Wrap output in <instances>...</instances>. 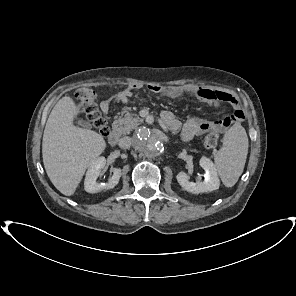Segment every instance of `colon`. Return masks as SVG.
<instances>
[{
    "instance_id": "5ec220e1",
    "label": "colon",
    "mask_w": 296,
    "mask_h": 296,
    "mask_svg": "<svg viewBox=\"0 0 296 296\" xmlns=\"http://www.w3.org/2000/svg\"><path fill=\"white\" fill-rule=\"evenodd\" d=\"M79 112L96 128L101 134L106 135L108 128L102 116V107L97 103V92L91 88H81L77 91ZM219 142V135L215 132L208 133L204 138L207 148H214Z\"/></svg>"
}]
</instances>
